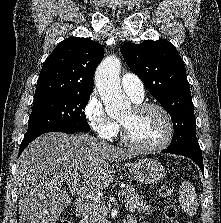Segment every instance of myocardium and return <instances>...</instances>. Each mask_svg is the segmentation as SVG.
<instances>
[{
	"label": "myocardium",
	"mask_w": 221,
	"mask_h": 223,
	"mask_svg": "<svg viewBox=\"0 0 221 223\" xmlns=\"http://www.w3.org/2000/svg\"><path fill=\"white\" fill-rule=\"evenodd\" d=\"M148 109L157 110L164 116L167 123V132H166L165 138L156 145H144V144L137 143L134 140H132L131 137L129 136L127 127L122 122L119 121L120 129H121V132H120L121 140L128 147L138 150V151L157 152V151L164 150L171 144L174 138L175 128H174V122H173L172 116L165 107L157 103L142 102V103H137L133 106V110L136 112H140V111H144Z\"/></svg>",
	"instance_id": "obj_1"
}]
</instances>
